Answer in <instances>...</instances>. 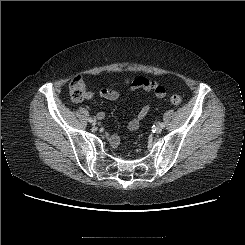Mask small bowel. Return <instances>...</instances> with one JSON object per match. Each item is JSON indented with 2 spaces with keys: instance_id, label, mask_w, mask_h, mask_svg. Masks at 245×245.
I'll return each instance as SVG.
<instances>
[{
  "instance_id": "c3829d8e",
  "label": "small bowel",
  "mask_w": 245,
  "mask_h": 245,
  "mask_svg": "<svg viewBox=\"0 0 245 245\" xmlns=\"http://www.w3.org/2000/svg\"><path fill=\"white\" fill-rule=\"evenodd\" d=\"M138 89H144L145 91H152V89H149V88H143L141 86H139L137 83H136V80L133 82V84L131 85V91H136ZM100 96L103 98V99H106V100H109V101H115V102H120L123 100L122 96L114 91V90H111V89H108V88H103L100 90ZM166 94V91L163 92V93H158L155 91V95L158 97V98H163ZM92 97V94L91 93H88L87 94V98H91ZM151 109V105L150 104H146L145 106H143L136 114L135 116L130 120L129 124H128V128L130 130H136L138 129L139 125H140V122L143 120V118L148 114V112L150 111ZM104 118V113H99L98 114V119H103ZM108 141L110 142V144L113 146V147H116L119 143V138L115 135L113 136H110L108 137Z\"/></svg>"
}]
</instances>
